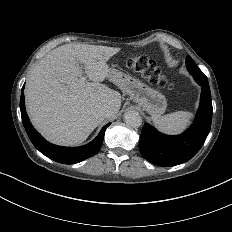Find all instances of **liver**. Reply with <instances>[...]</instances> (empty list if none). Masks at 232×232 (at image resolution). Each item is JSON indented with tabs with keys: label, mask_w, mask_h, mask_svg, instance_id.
Returning a JSON list of instances; mask_svg holds the SVG:
<instances>
[{
	"label": "liver",
	"mask_w": 232,
	"mask_h": 232,
	"mask_svg": "<svg viewBox=\"0 0 232 232\" xmlns=\"http://www.w3.org/2000/svg\"><path fill=\"white\" fill-rule=\"evenodd\" d=\"M119 47L66 44L50 51L27 79L25 97L33 125L48 140L82 143L104 120L98 109L109 106L114 118L122 98L101 84L110 77V59ZM85 65V70L82 66ZM85 73L90 81H81Z\"/></svg>",
	"instance_id": "1"
}]
</instances>
